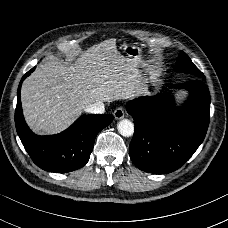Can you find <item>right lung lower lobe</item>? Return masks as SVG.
Returning a JSON list of instances; mask_svg holds the SVG:
<instances>
[{
    "label": "right lung lower lobe",
    "instance_id": "1",
    "mask_svg": "<svg viewBox=\"0 0 228 228\" xmlns=\"http://www.w3.org/2000/svg\"><path fill=\"white\" fill-rule=\"evenodd\" d=\"M34 70L22 77L17 92L15 125L21 142L33 162L45 171L67 173L79 169L88 162L97 134L112 122L113 116L85 115L60 134H34L24 120L20 100L21 84Z\"/></svg>",
    "mask_w": 228,
    "mask_h": 228
}]
</instances>
